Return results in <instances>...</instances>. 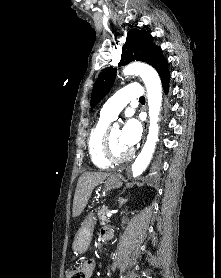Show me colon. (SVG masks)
<instances>
[{
    "mask_svg": "<svg viewBox=\"0 0 221 278\" xmlns=\"http://www.w3.org/2000/svg\"><path fill=\"white\" fill-rule=\"evenodd\" d=\"M65 278H85V275L80 267L72 266L66 270Z\"/></svg>",
    "mask_w": 221,
    "mask_h": 278,
    "instance_id": "obj_1",
    "label": "colon"
}]
</instances>
